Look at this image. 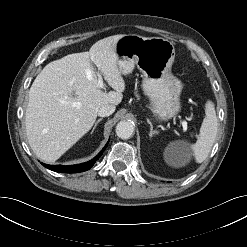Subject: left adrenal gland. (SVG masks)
<instances>
[{
  "label": "left adrenal gland",
  "mask_w": 247,
  "mask_h": 247,
  "mask_svg": "<svg viewBox=\"0 0 247 247\" xmlns=\"http://www.w3.org/2000/svg\"><path fill=\"white\" fill-rule=\"evenodd\" d=\"M147 122H148V124L150 125V133H149V136H150V138H151V137H153V135L158 134V132L155 131V130H153V125H152V123L150 122L149 119H147Z\"/></svg>",
  "instance_id": "a2214340"
}]
</instances>
